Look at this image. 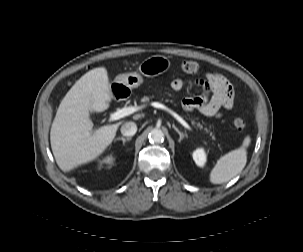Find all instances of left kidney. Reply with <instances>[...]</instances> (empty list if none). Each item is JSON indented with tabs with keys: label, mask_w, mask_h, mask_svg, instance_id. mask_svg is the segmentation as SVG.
<instances>
[{
	"label": "left kidney",
	"mask_w": 303,
	"mask_h": 252,
	"mask_svg": "<svg viewBox=\"0 0 303 252\" xmlns=\"http://www.w3.org/2000/svg\"><path fill=\"white\" fill-rule=\"evenodd\" d=\"M206 159L207 156L203 148H198L193 152V160L196 165L203 167L206 163Z\"/></svg>",
	"instance_id": "left-kidney-1"
}]
</instances>
